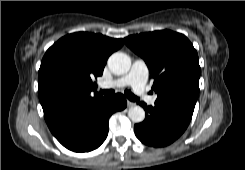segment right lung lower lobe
<instances>
[{"instance_id": "98d812e1", "label": "right lung lower lobe", "mask_w": 245, "mask_h": 170, "mask_svg": "<svg viewBox=\"0 0 245 170\" xmlns=\"http://www.w3.org/2000/svg\"><path fill=\"white\" fill-rule=\"evenodd\" d=\"M127 105L122 94L100 98L75 115L53 135L67 149L90 152L98 148L108 135L109 117Z\"/></svg>"}]
</instances>
